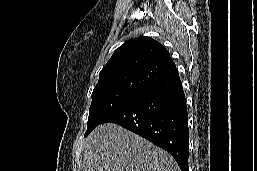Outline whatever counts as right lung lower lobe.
<instances>
[{
	"label": "right lung lower lobe",
	"mask_w": 257,
	"mask_h": 171,
	"mask_svg": "<svg viewBox=\"0 0 257 171\" xmlns=\"http://www.w3.org/2000/svg\"><path fill=\"white\" fill-rule=\"evenodd\" d=\"M103 123H116L168 151L188 171L189 136L186 99L176 73L143 90Z\"/></svg>",
	"instance_id": "obj_1"
}]
</instances>
